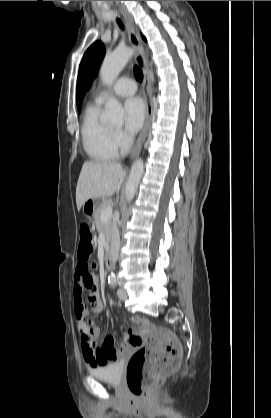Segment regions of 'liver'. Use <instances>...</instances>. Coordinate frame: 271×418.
I'll return each instance as SVG.
<instances>
[{"label":"liver","mask_w":271,"mask_h":418,"mask_svg":"<svg viewBox=\"0 0 271 418\" xmlns=\"http://www.w3.org/2000/svg\"><path fill=\"white\" fill-rule=\"evenodd\" d=\"M125 171L117 162H84L76 187L77 209L89 199L110 197L118 193Z\"/></svg>","instance_id":"obj_1"}]
</instances>
